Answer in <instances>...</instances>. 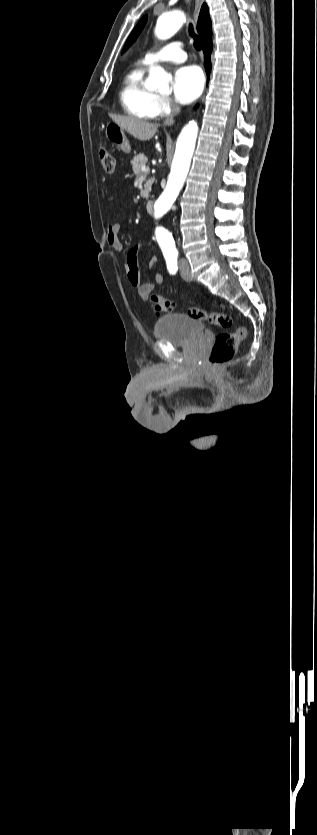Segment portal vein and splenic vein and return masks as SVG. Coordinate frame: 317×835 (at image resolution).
<instances>
[{
	"mask_svg": "<svg viewBox=\"0 0 317 835\" xmlns=\"http://www.w3.org/2000/svg\"><path fill=\"white\" fill-rule=\"evenodd\" d=\"M141 169H142V171H144V172H146V171H149V170H150V169H149V167H146V166H142V168H141Z\"/></svg>",
	"mask_w": 317,
	"mask_h": 835,
	"instance_id": "obj_1",
	"label": "portal vein and splenic vein"
}]
</instances>
